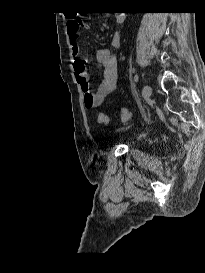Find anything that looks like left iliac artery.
Returning <instances> with one entry per match:
<instances>
[{"label":"left iliac artery","mask_w":205,"mask_h":273,"mask_svg":"<svg viewBox=\"0 0 205 273\" xmlns=\"http://www.w3.org/2000/svg\"><path fill=\"white\" fill-rule=\"evenodd\" d=\"M138 80H139V76L136 74V75L134 76V81H135V82H138Z\"/></svg>","instance_id":"44dca946"}]
</instances>
